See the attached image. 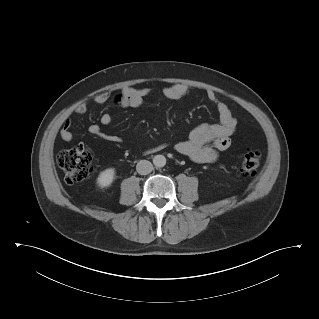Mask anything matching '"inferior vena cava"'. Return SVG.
Here are the masks:
<instances>
[{"label":"inferior vena cava","instance_id":"obj_1","mask_svg":"<svg viewBox=\"0 0 319 319\" xmlns=\"http://www.w3.org/2000/svg\"><path fill=\"white\" fill-rule=\"evenodd\" d=\"M136 170L141 175H147L153 170V165L150 161L140 160L136 165Z\"/></svg>","mask_w":319,"mask_h":319}]
</instances>
